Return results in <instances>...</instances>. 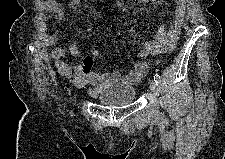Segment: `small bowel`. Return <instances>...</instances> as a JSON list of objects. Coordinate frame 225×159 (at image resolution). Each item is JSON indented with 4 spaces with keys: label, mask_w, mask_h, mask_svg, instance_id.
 <instances>
[{
    "label": "small bowel",
    "mask_w": 225,
    "mask_h": 159,
    "mask_svg": "<svg viewBox=\"0 0 225 159\" xmlns=\"http://www.w3.org/2000/svg\"><path fill=\"white\" fill-rule=\"evenodd\" d=\"M84 7L86 6L81 0H71L68 4V8L74 12H78ZM42 9L46 13L54 15L57 20H62L65 15V8L57 1H44ZM186 9L187 2L185 0H178L175 19L171 27L167 28L165 24H161L151 41L139 44L137 57L140 60L126 73H121L120 71H113L111 73L97 71L94 68V64L100 56V52L96 49L92 50L91 56L85 57L81 64L73 65L66 62L63 58L67 53L74 57L82 55L77 43H72L67 49L55 47L51 52V57L55 62L58 72L62 76L69 78L76 87L93 86L90 90L92 97H96L103 88L114 83L134 85L148 72V65L144 61L146 57L159 53H170L175 49ZM41 35L44 44L48 47H54L59 40V33H50L45 21L41 22Z\"/></svg>",
    "instance_id": "1"
}]
</instances>
